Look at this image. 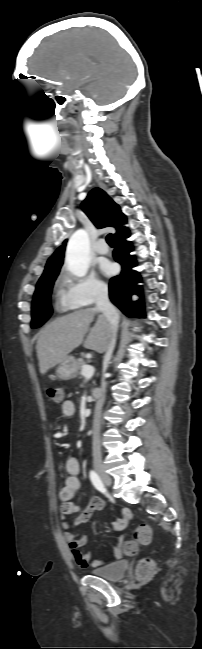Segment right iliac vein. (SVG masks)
<instances>
[{
    "instance_id": "1",
    "label": "right iliac vein",
    "mask_w": 202,
    "mask_h": 649,
    "mask_svg": "<svg viewBox=\"0 0 202 649\" xmlns=\"http://www.w3.org/2000/svg\"><path fill=\"white\" fill-rule=\"evenodd\" d=\"M94 468H95L97 474H98V475L100 476V478L102 479V481H103L107 486H111V485H112V479H111V477L108 475V473L106 472L105 467L103 466V464H102L101 462H99V461H95V462H94Z\"/></svg>"
}]
</instances>
